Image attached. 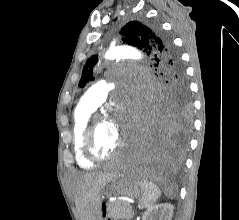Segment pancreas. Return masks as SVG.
<instances>
[{"label":"pancreas","mask_w":239,"mask_h":220,"mask_svg":"<svg viewBox=\"0 0 239 220\" xmlns=\"http://www.w3.org/2000/svg\"><path fill=\"white\" fill-rule=\"evenodd\" d=\"M107 215L114 220H131L134 212L127 202L114 201L107 204Z\"/></svg>","instance_id":"cf45deb5"}]
</instances>
